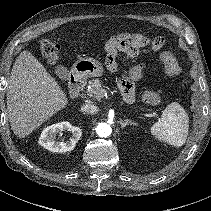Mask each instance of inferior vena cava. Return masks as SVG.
Here are the masks:
<instances>
[{"label": "inferior vena cava", "mask_w": 211, "mask_h": 211, "mask_svg": "<svg viewBox=\"0 0 211 211\" xmlns=\"http://www.w3.org/2000/svg\"><path fill=\"white\" fill-rule=\"evenodd\" d=\"M98 110V107L93 104H85L81 107V111L84 114H95L96 112H98Z\"/></svg>", "instance_id": "1"}]
</instances>
